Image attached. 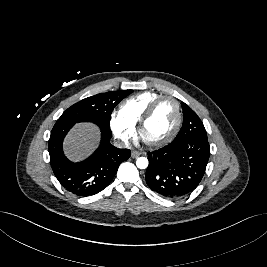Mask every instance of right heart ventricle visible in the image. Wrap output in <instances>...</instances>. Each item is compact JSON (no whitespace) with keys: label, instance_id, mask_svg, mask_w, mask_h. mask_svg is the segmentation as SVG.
<instances>
[{"label":"right heart ventricle","instance_id":"right-heart-ventricle-1","mask_svg":"<svg viewBox=\"0 0 267 267\" xmlns=\"http://www.w3.org/2000/svg\"><path fill=\"white\" fill-rule=\"evenodd\" d=\"M161 94L156 92H143L126 99L120 106V114L133 127H135L147 107Z\"/></svg>","mask_w":267,"mask_h":267}]
</instances>
